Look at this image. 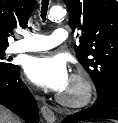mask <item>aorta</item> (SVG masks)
Returning a JSON list of instances; mask_svg holds the SVG:
<instances>
[{
	"instance_id": "1",
	"label": "aorta",
	"mask_w": 118,
	"mask_h": 123,
	"mask_svg": "<svg viewBox=\"0 0 118 123\" xmlns=\"http://www.w3.org/2000/svg\"><path fill=\"white\" fill-rule=\"evenodd\" d=\"M66 15V10L61 6H53L49 11L50 20H59Z\"/></svg>"
}]
</instances>
